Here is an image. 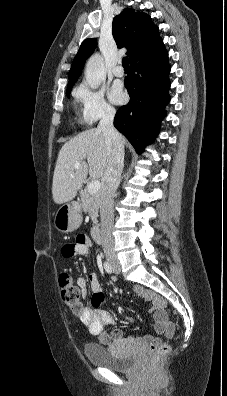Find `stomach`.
Masks as SVG:
<instances>
[{
  "mask_svg": "<svg viewBox=\"0 0 227 396\" xmlns=\"http://www.w3.org/2000/svg\"><path fill=\"white\" fill-rule=\"evenodd\" d=\"M81 222V208L77 202L61 206L54 218L55 228L63 233L76 230Z\"/></svg>",
  "mask_w": 227,
  "mask_h": 396,
  "instance_id": "obj_1",
  "label": "stomach"
}]
</instances>
